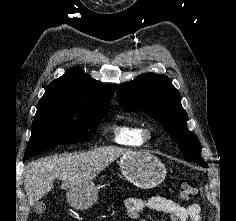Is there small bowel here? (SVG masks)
Wrapping results in <instances>:
<instances>
[{
  "label": "small bowel",
  "instance_id": "1",
  "mask_svg": "<svg viewBox=\"0 0 236 221\" xmlns=\"http://www.w3.org/2000/svg\"><path fill=\"white\" fill-rule=\"evenodd\" d=\"M145 210L166 213L170 216L171 221H201V206L198 203L182 206L174 200L160 196L126 199L125 211L130 219L146 221L141 215Z\"/></svg>",
  "mask_w": 236,
  "mask_h": 221
}]
</instances>
